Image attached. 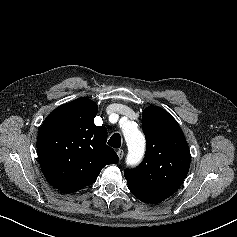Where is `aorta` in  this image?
<instances>
[{"instance_id": "762f6f07", "label": "aorta", "mask_w": 237, "mask_h": 237, "mask_svg": "<svg viewBox=\"0 0 237 237\" xmlns=\"http://www.w3.org/2000/svg\"><path fill=\"white\" fill-rule=\"evenodd\" d=\"M122 129L128 146L127 161L130 164H136L144 154L145 138L133 121L124 123Z\"/></svg>"}]
</instances>
